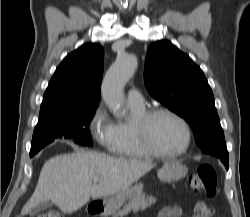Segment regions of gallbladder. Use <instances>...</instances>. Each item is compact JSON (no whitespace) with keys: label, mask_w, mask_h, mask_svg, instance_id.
Wrapping results in <instances>:
<instances>
[{"label":"gallbladder","mask_w":250,"mask_h":217,"mask_svg":"<svg viewBox=\"0 0 250 217\" xmlns=\"http://www.w3.org/2000/svg\"><path fill=\"white\" fill-rule=\"evenodd\" d=\"M52 206V203L51 202H44V203H41L39 205H37L36 207H34L31 211V214L32 215H36L42 211H45L47 210L48 208H50Z\"/></svg>","instance_id":"gallbladder-1"}]
</instances>
